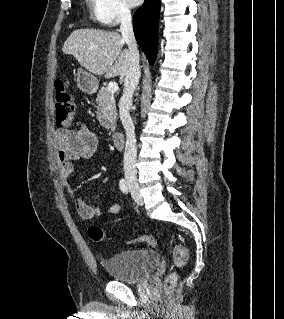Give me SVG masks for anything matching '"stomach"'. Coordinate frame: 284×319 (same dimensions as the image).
I'll list each match as a JSON object with an SVG mask.
<instances>
[{
  "instance_id": "stomach-1",
  "label": "stomach",
  "mask_w": 284,
  "mask_h": 319,
  "mask_svg": "<svg viewBox=\"0 0 284 319\" xmlns=\"http://www.w3.org/2000/svg\"><path fill=\"white\" fill-rule=\"evenodd\" d=\"M77 87L84 93L91 94L96 91L98 87V80L92 74L79 69L76 74Z\"/></svg>"
}]
</instances>
